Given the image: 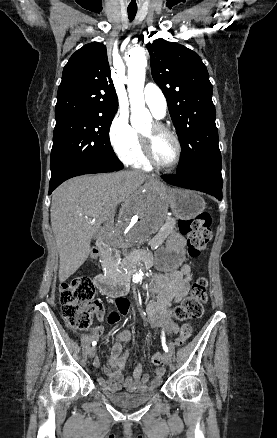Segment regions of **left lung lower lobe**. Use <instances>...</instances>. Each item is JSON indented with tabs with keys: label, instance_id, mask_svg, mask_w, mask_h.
Listing matches in <instances>:
<instances>
[{
	"label": "left lung lower lobe",
	"instance_id": "1",
	"mask_svg": "<svg viewBox=\"0 0 277 438\" xmlns=\"http://www.w3.org/2000/svg\"><path fill=\"white\" fill-rule=\"evenodd\" d=\"M166 182L180 187L193 189L222 199V175L221 168H209L190 175H162Z\"/></svg>",
	"mask_w": 277,
	"mask_h": 438
}]
</instances>
